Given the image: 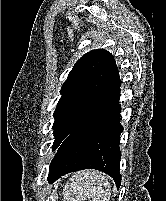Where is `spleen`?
I'll list each match as a JSON object with an SVG mask.
<instances>
[{
    "instance_id": "3e777b00",
    "label": "spleen",
    "mask_w": 166,
    "mask_h": 201,
    "mask_svg": "<svg viewBox=\"0 0 166 201\" xmlns=\"http://www.w3.org/2000/svg\"><path fill=\"white\" fill-rule=\"evenodd\" d=\"M62 194L67 201H109L111 186L101 172L86 170L74 174Z\"/></svg>"
}]
</instances>
